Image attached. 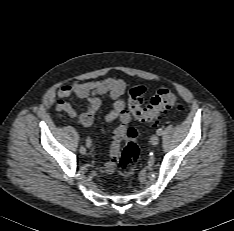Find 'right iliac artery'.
<instances>
[{
    "mask_svg": "<svg viewBox=\"0 0 234 231\" xmlns=\"http://www.w3.org/2000/svg\"><path fill=\"white\" fill-rule=\"evenodd\" d=\"M86 146L88 148H90L92 146V142H91V140L89 138L86 140Z\"/></svg>",
    "mask_w": 234,
    "mask_h": 231,
    "instance_id": "82829eb1",
    "label": "right iliac artery"
}]
</instances>
